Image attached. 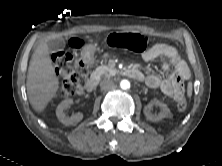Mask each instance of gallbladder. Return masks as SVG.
I'll return each instance as SVG.
<instances>
[{"label": "gallbladder", "mask_w": 222, "mask_h": 166, "mask_svg": "<svg viewBox=\"0 0 222 166\" xmlns=\"http://www.w3.org/2000/svg\"><path fill=\"white\" fill-rule=\"evenodd\" d=\"M50 51L62 50L65 47V40L62 37L52 39L47 43Z\"/></svg>", "instance_id": "1"}]
</instances>
